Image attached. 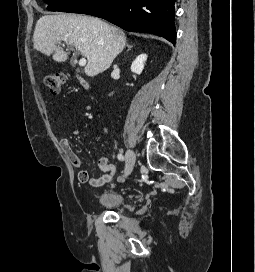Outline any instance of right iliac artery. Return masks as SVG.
Returning <instances> with one entry per match:
<instances>
[{
  "label": "right iliac artery",
  "mask_w": 255,
  "mask_h": 272,
  "mask_svg": "<svg viewBox=\"0 0 255 272\" xmlns=\"http://www.w3.org/2000/svg\"><path fill=\"white\" fill-rule=\"evenodd\" d=\"M118 159L121 160V161H123V160L125 159V158H124V155H123V154H119V155H118Z\"/></svg>",
  "instance_id": "right-iliac-artery-1"
}]
</instances>
